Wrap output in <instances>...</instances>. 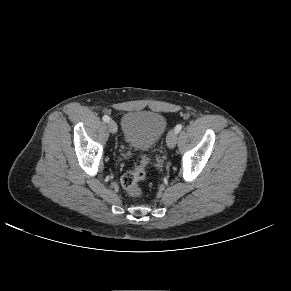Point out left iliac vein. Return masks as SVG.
<instances>
[{
    "label": "left iliac vein",
    "mask_w": 291,
    "mask_h": 291,
    "mask_svg": "<svg viewBox=\"0 0 291 291\" xmlns=\"http://www.w3.org/2000/svg\"><path fill=\"white\" fill-rule=\"evenodd\" d=\"M166 143L169 148H174L177 143V133L175 130H171L166 138Z\"/></svg>",
    "instance_id": "4c4485c4"
}]
</instances>
